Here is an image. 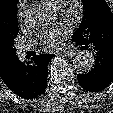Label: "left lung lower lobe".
I'll list each match as a JSON object with an SVG mask.
<instances>
[{
  "label": "left lung lower lobe",
  "mask_w": 113,
  "mask_h": 113,
  "mask_svg": "<svg viewBox=\"0 0 113 113\" xmlns=\"http://www.w3.org/2000/svg\"><path fill=\"white\" fill-rule=\"evenodd\" d=\"M81 49L91 51L95 58L94 68L86 74H77L80 86L89 92H98L113 81V39L106 38L87 43L88 40L73 38Z\"/></svg>",
  "instance_id": "left-lung-lower-lobe-1"
}]
</instances>
